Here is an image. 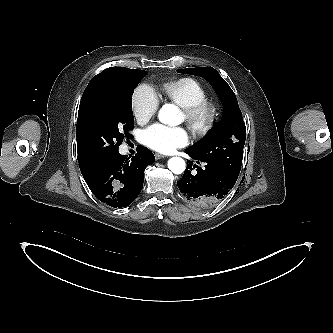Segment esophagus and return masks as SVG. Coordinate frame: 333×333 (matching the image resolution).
<instances>
[{"label": "esophagus", "mask_w": 333, "mask_h": 333, "mask_svg": "<svg viewBox=\"0 0 333 333\" xmlns=\"http://www.w3.org/2000/svg\"><path fill=\"white\" fill-rule=\"evenodd\" d=\"M161 158H165V156L162 155V154H159V153H155V159H156V160H159V159H161Z\"/></svg>", "instance_id": "34e87169"}]
</instances>
